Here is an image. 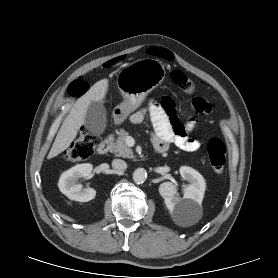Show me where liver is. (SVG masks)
Returning <instances> with one entry per match:
<instances>
[{"label":"liver","instance_id":"1","mask_svg":"<svg viewBox=\"0 0 278 278\" xmlns=\"http://www.w3.org/2000/svg\"><path fill=\"white\" fill-rule=\"evenodd\" d=\"M108 90V79L96 82L89 91L79 98L64 119L55 141L48 154L51 159L65 151L76 138L80 127L84 124L85 116L92 101L102 102Z\"/></svg>","mask_w":278,"mask_h":278}]
</instances>
